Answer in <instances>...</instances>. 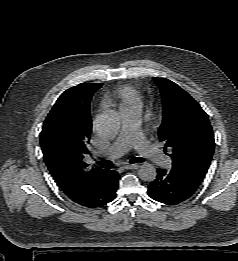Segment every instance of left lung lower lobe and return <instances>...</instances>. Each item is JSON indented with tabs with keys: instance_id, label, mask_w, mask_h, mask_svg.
Masks as SVG:
<instances>
[{
	"instance_id": "1",
	"label": "left lung lower lobe",
	"mask_w": 238,
	"mask_h": 261,
	"mask_svg": "<svg viewBox=\"0 0 238 261\" xmlns=\"http://www.w3.org/2000/svg\"><path fill=\"white\" fill-rule=\"evenodd\" d=\"M199 185L179 176L172 169H157L155 180L148 186V195L158 202L175 205L192 196Z\"/></svg>"
}]
</instances>
